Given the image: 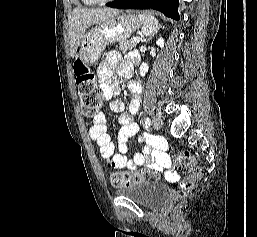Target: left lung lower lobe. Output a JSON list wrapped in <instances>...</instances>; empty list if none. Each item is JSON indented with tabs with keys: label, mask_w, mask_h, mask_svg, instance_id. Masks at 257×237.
Segmentation results:
<instances>
[{
	"label": "left lung lower lobe",
	"mask_w": 257,
	"mask_h": 237,
	"mask_svg": "<svg viewBox=\"0 0 257 237\" xmlns=\"http://www.w3.org/2000/svg\"><path fill=\"white\" fill-rule=\"evenodd\" d=\"M106 5L117 9H155L167 17L179 20L178 0H118Z\"/></svg>",
	"instance_id": "left-lung-lower-lobe-1"
}]
</instances>
